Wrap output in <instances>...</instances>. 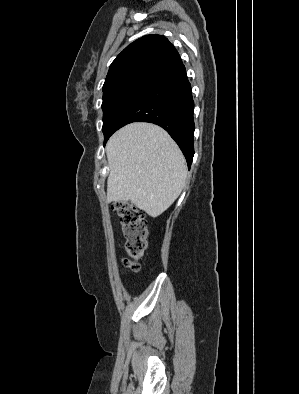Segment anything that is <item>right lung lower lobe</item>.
<instances>
[{
	"instance_id": "98d812e1",
	"label": "right lung lower lobe",
	"mask_w": 299,
	"mask_h": 394,
	"mask_svg": "<svg viewBox=\"0 0 299 394\" xmlns=\"http://www.w3.org/2000/svg\"><path fill=\"white\" fill-rule=\"evenodd\" d=\"M193 110L191 85L182 64L141 93L123 113L111 135L131 122L157 124L176 141L190 168L194 156Z\"/></svg>"
}]
</instances>
